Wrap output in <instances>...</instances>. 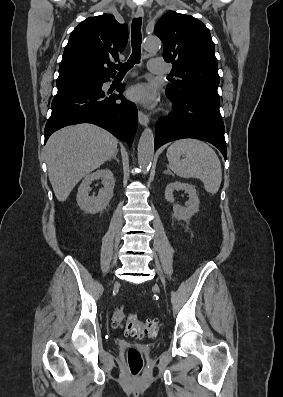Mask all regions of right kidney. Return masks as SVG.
I'll use <instances>...</instances> for the list:
<instances>
[{"instance_id": "right-kidney-1", "label": "right kidney", "mask_w": 283, "mask_h": 397, "mask_svg": "<svg viewBox=\"0 0 283 397\" xmlns=\"http://www.w3.org/2000/svg\"><path fill=\"white\" fill-rule=\"evenodd\" d=\"M101 179L103 188L97 196H89L90 185L94 180ZM115 180L110 169H100L84 177L77 193L78 206L86 213L95 214L103 211L113 197Z\"/></svg>"}]
</instances>
